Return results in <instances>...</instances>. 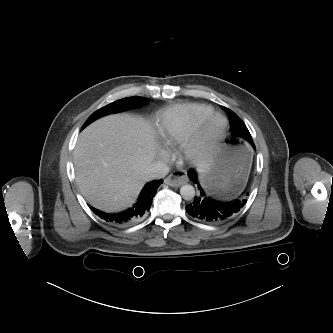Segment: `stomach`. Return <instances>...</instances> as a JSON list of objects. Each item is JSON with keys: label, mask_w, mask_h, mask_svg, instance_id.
Returning <instances> with one entry per match:
<instances>
[{"label": "stomach", "mask_w": 333, "mask_h": 333, "mask_svg": "<svg viewBox=\"0 0 333 333\" xmlns=\"http://www.w3.org/2000/svg\"><path fill=\"white\" fill-rule=\"evenodd\" d=\"M246 146L227 139L208 161L200 179L205 189L222 199L236 197L242 190L252 161Z\"/></svg>", "instance_id": "1"}]
</instances>
